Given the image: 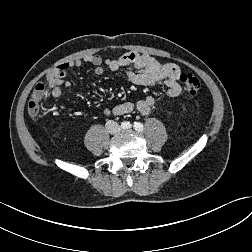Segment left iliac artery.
<instances>
[{
	"label": "left iliac artery",
	"instance_id": "44dca946",
	"mask_svg": "<svg viewBox=\"0 0 252 252\" xmlns=\"http://www.w3.org/2000/svg\"><path fill=\"white\" fill-rule=\"evenodd\" d=\"M134 128H135V130H137V131H143L144 126H143V124L140 123V122H134Z\"/></svg>",
	"mask_w": 252,
	"mask_h": 252
}]
</instances>
